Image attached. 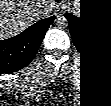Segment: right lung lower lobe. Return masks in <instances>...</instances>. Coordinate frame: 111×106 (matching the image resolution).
<instances>
[{"label":"right lung lower lobe","instance_id":"obj_1","mask_svg":"<svg viewBox=\"0 0 111 106\" xmlns=\"http://www.w3.org/2000/svg\"><path fill=\"white\" fill-rule=\"evenodd\" d=\"M55 16L42 19L12 38L0 41V73L16 72L34 58Z\"/></svg>","mask_w":111,"mask_h":106}]
</instances>
